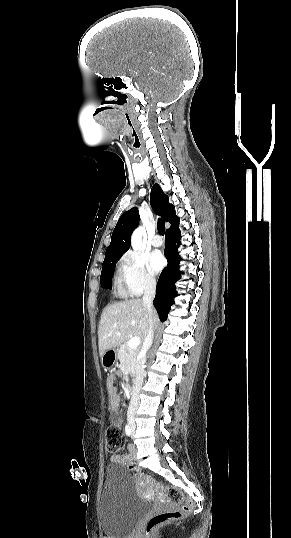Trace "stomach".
I'll return each mask as SVG.
<instances>
[{
	"label": "stomach",
	"instance_id": "1",
	"mask_svg": "<svg viewBox=\"0 0 291 538\" xmlns=\"http://www.w3.org/2000/svg\"><path fill=\"white\" fill-rule=\"evenodd\" d=\"M117 361V351L116 349H109L104 352L101 357V363L104 368H111L115 365Z\"/></svg>",
	"mask_w": 291,
	"mask_h": 538
}]
</instances>
